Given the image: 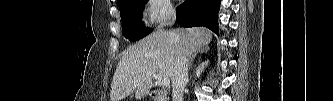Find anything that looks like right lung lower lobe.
<instances>
[{
  "label": "right lung lower lobe",
  "instance_id": "right-lung-lower-lobe-1",
  "mask_svg": "<svg viewBox=\"0 0 333 101\" xmlns=\"http://www.w3.org/2000/svg\"><path fill=\"white\" fill-rule=\"evenodd\" d=\"M221 0H185L177 8V20L184 27L204 26L218 33L217 15Z\"/></svg>",
  "mask_w": 333,
  "mask_h": 101
}]
</instances>
